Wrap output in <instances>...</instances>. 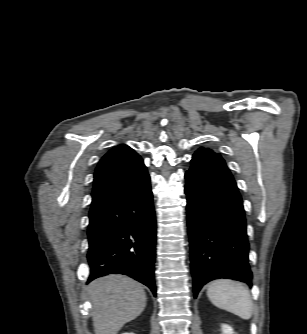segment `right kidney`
<instances>
[{
  "label": "right kidney",
  "mask_w": 307,
  "mask_h": 334,
  "mask_svg": "<svg viewBox=\"0 0 307 334\" xmlns=\"http://www.w3.org/2000/svg\"><path fill=\"white\" fill-rule=\"evenodd\" d=\"M121 334H133V333H127V332H126V333H121Z\"/></svg>",
  "instance_id": "obj_1"
}]
</instances>
